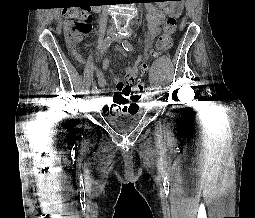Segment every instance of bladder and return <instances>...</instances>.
I'll return each instance as SVG.
<instances>
[{
	"label": "bladder",
	"instance_id": "1",
	"mask_svg": "<svg viewBox=\"0 0 255 218\" xmlns=\"http://www.w3.org/2000/svg\"><path fill=\"white\" fill-rule=\"evenodd\" d=\"M107 119L112 124L116 131H130L138 122V114L136 112H119L108 114Z\"/></svg>",
	"mask_w": 255,
	"mask_h": 218
}]
</instances>
